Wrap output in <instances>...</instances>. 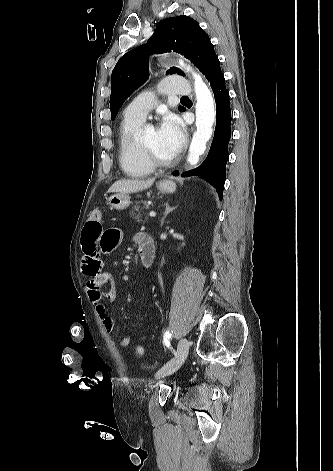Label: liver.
Masks as SVG:
<instances>
[{
    "mask_svg": "<svg viewBox=\"0 0 333 471\" xmlns=\"http://www.w3.org/2000/svg\"><path fill=\"white\" fill-rule=\"evenodd\" d=\"M155 179L148 180H118L116 181L108 190V192H117V193H135L141 190L147 189L152 186Z\"/></svg>",
    "mask_w": 333,
    "mask_h": 471,
    "instance_id": "obj_1",
    "label": "liver"
}]
</instances>
